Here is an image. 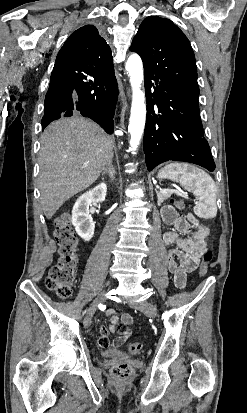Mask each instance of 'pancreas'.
I'll return each mask as SVG.
<instances>
[{"instance_id":"1","label":"pancreas","mask_w":247,"mask_h":413,"mask_svg":"<svg viewBox=\"0 0 247 413\" xmlns=\"http://www.w3.org/2000/svg\"><path fill=\"white\" fill-rule=\"evenodd\" d=\"M172 192H157L158 196V204H161V202H164L168 196H171Z\"/></svg>"}]
</instances>
